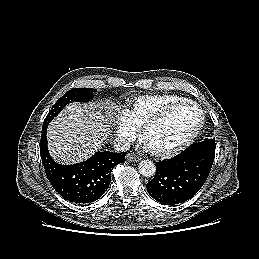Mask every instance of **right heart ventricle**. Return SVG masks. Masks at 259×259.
<instances>
[{"label": "right heart ventricle", "mask_w": 259, "mask_h": 259, "mask_svg": "<svg viewBox=\"0 0 259 259\" xmlns=\"http://www.w3.org/2000/svg\"><path fill=\"white\" fill-rule=\"evenodd\" d=\"M185 100L184 97L171 94L140 96L128 101L125 113L131 123L140 128L168 106Z\"/></svg>", "instance_id": "right-heart-ventricle-1"}]
</instances>
